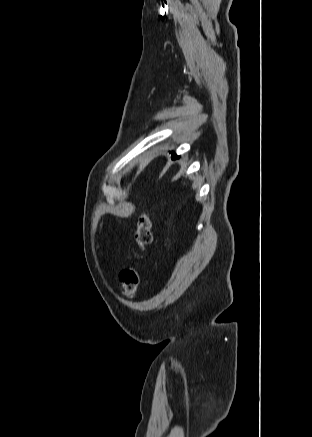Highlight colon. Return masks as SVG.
<instances>
[{"label": "colon", "instance_id": "5ec220e1", "mask_svg": "<svg viewBox=\"0 0 312 437\" xmlns=\"http://www.w3.org/2000/svg\"><path fill=\"white\" fill-rule=\"evenodd\" d=\"M152 241L151 221L143 213L137 223L135 242L141 251H144ZM120 291L125 296H133L140 282L139 271L136 266L123 268L119 273Z\"/></svg>", "mask_w": 312, "mask_h": 437}]
</instances>
